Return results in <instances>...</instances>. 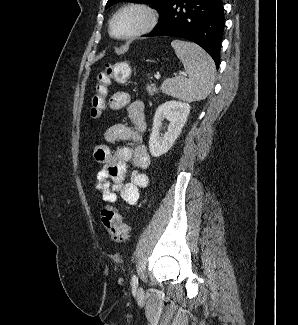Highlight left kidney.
<instances>
[{
    "label": "left kidney",
    "instance_id": "obj_1",
    "mask_svg": "<svg viewBox=\"0 0 298 325\" xmlns=\"http://www.w3.org/2000/svg\"><path fill=\"white\" fill-rule=\"evenodd\" d=\"M189 102L181 100H166L159 104L155 110L152 132L149 138V150L152 156H161L173 146L177 136H179L187 116L190 112ZM169 120L168 128L161 134L162 120Z\"/></svg>",
    "mask_w": 298,
    "mask_h": 325
}]
</instances>
